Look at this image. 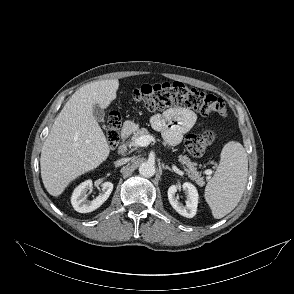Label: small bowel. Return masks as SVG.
<instances>
[{
    "label": "small bowel",
    "instance_id": "obj_1",
    "mask_svg": "<svg viewBox=\"0 0 294 294\" xmlns=\"http://www.w3.org/2000/svg\"><path fill=\"white\" fill-rule=\"evenodd\" d=\"M197 122L193 111L185 107H172L151 118L154 129L161 131L166 142L170 145L178 144L183 135L190 131Z\"/></svg>",
    "mask_w": 294,
    "mask_h": 294
}]
</instances>
